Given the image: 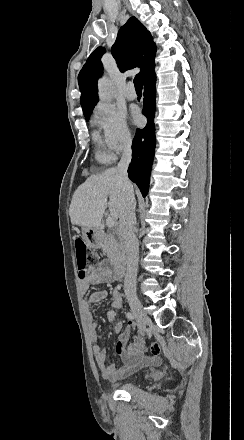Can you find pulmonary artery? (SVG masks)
<instances>
[{
  "label": "pulmonary artery",
  "mask_w": 244,
  "mask_h": 440,
  "mask_svg": "<svg viewBox=\"0 0 244 440\" xmlns=\"http://www.w3.org/2000/svg\"><path fill=\"white\" fill-rule=\"evenodd\" d=\"M125 97L128 100H134L136 98V94H135V88H134V84L133 83H128L126 85V91H125Z\"/></svg>",
  "instance_id": "pulmonary-artery-1"
}]
</instances>
